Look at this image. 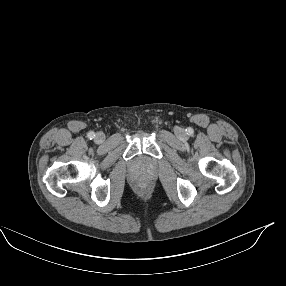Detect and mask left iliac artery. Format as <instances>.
Listing matches in <instances>:
<instances>
[{"label":"left iliac artery","instance_id":"obj_1","mask_svg":"<svg viewBox=\"0 0 286 286\" xmlns=\"http://www.w3.org/2000/svg\"><path fill=\"white\" fill-rule=\"evenodd\" d=\"M186 131H187L188 134H192L193 133V129L192 128H188Z\"/></svg>","mask_w":286,"mask_h":286}]
</instances>
